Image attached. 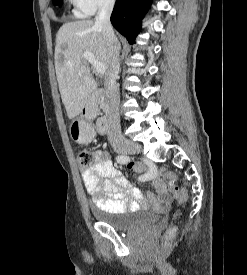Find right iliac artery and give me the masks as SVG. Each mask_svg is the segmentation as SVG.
<instances>
[{
  "mask_svg": "<svg viewBox=\"0 0 247 275\" xmlns=\"http://www.w3.org/2000/svg\"><path fill=\"white\" fill-rule=\"evenodd\" d=\"M116 160L120 164H125L130 162V157L126 155H119L116 157ZM145 163L147 164V173L144 176H141L139 179L141 181H146V180H155L157 174L159 173L158 168L156 167V164H149L150 160L147 159L146 157L143 159Z\"/></svg>",
  "mask_w": 247,
  "mask_h": 275,
  "instance_id": "right-iliac-artery-1",
  "label": "right iliac artery"
}]
</instances>
